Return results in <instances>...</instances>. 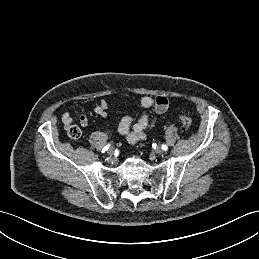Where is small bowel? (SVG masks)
I'll return each instance as SVG.
<instances>
[{
    "label": "small bowel",
    "instance_id": "1",
    "mask_svg": "<svg viewBox=\"0 0 259 259\" xmlns=\"http://www.w3.org/2000/svg\"><path fill=\"white\" fill-rule=\"evenodd\" d=\"M140 106L144 111L137 121H134V117L128 114L125 115L118 124V132L123 135L130 144H135L146 138V131L151 125L149 111L153 108L157 114L161 115L167 111L169 102L165 96H157L155 98L146 96L140 100ZM107 110L108 103L105 100H101L94 109L95 113L103 118L107 116ZM79 120L82 126L88 125V117L86 115H81ZM62 121L65 125H69L72 122V117L69 112L63 113Z\"/></svg>",
    "mask_w": 259,
    "mask_h": 259
}]
</instances>
